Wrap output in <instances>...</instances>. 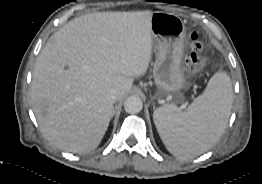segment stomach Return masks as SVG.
Masks as SVG:
<instances>
[{
	"mask_svg": "<svg viewBox=\"0 0 262 184\" xmlns=\"http://www.w3.org/2000/svg\"><path fill=\"white\" fill-rule=\"evenodd\" d=\"M150 27L157 51L153 67L157 96L165 98L172 95L176 101H181L180 91L187 84L182 69L184 22L177 15L154 12L150 18Z\"/></svg>",
	"mask_w": 262,
	"mask_h": 184,
	"instance_id": "obj_1",
	"label": "stomach"
}]
</instances>
